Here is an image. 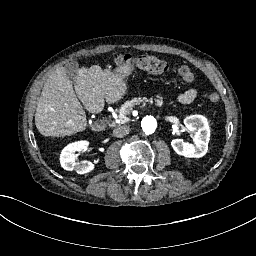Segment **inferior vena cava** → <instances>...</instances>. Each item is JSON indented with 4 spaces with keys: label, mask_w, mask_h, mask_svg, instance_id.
<instances>
[{
    "label": "inferior vena cava",
    "mask_w": 256,
    "mask_h": 256,
    "mask_svg": "<svg viewBox=\"0 0 256 256\" xmlns=\"http://www.w3.org/2000/svg\"><path fill=\"white\" fill-rule=\"evenodd\" d=\"M129 133H130V128L126 125H120L114 128L113 130V135L118 138L125 137Z\"/></svg>",
    "instance_id": "obj_1"
}]
</instances>
